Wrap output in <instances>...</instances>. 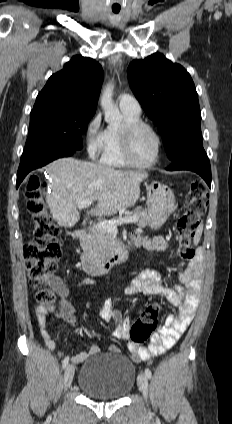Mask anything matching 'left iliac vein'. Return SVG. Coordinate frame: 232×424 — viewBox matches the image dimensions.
I'll return each mask as SVG.
<instances>
[{
  "instance_id": "1",
  "label": "left iliac vein",
  "mask_w": 232,
  "mask_h": 424,
  "mask_svg": "<svg viewBox=\"0 0 232 424\" xmlns=\"http://www.w3.org/2000/svg\"><path fill=\"white\" fill-rule=\"evenodd\" d=\"M138 386L145 397H147L148 379L144 373H140L137 378Z\"/></svg>"
}]
</instances>
